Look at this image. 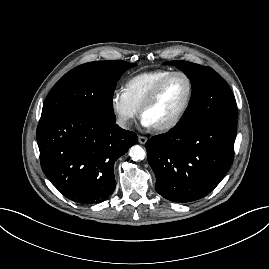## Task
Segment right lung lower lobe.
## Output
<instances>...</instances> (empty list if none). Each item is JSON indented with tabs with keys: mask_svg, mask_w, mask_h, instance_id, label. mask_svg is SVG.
I'll list each match as a JSON object with an SVG mask.
<instances>
[{
	"mask_svg": "<svg viewBox=\"0 0 269 269\" xmlns=\"http://www.w3.org/2000/svg\"><path fill=\"white\" fill-rule=\"evenodd\" d=\"M36 135L45 175L79 204L100 203L113 193L115 161L138 141L115 122L70 112L41 115Z\"/></svg>",
	"mask_w": 269,
	"mask_h": 269,
	"instance_id": "obj_1",
	"label": "right lung lower lobe"
}]
</instances>
